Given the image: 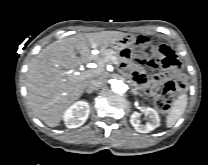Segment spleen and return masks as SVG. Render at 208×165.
<instances>
[{"instance_id":"spleen-1","label":"spleen","mask_w":208,"mask_h":165,"mask_svg":"<svg viewBox=\"0 0 208 165\" xmlns=\"http://www.w3.org/2000/svg\"><path fill=\"white\" fill-rule=\"evenodd\" d=\"M187 94L183 93L173 103V106L166 117V126L168 128L175 125V123L181 118L187 107Z\"/></svg>"}]
</instances>
